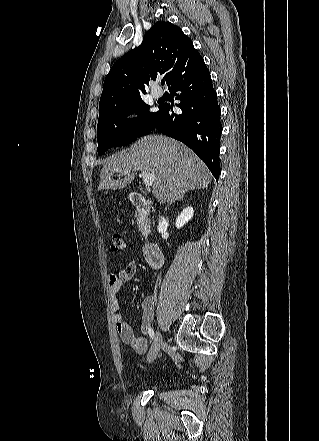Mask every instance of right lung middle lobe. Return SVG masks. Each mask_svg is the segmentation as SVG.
<instances>
[{
  "label": "right lung middle lobe",
  "mask_w": 319,
  "mask_h": 441,
  "mask_svg": "<svg viewBox=\"0 0 319 441\" xmlns=\"http://www.w3.org/2000/svg\"><path fill=\"white\" fill-rule=\"evenodd\" d=\"M149 109L150 105L140 99L100 110L97 125L98 154H104L113 146L127 145L153 130L160 107L155 113L150 112ZM134 113L140 116L126 119L128 115Z\"/></svg>",
  "instance_id": "obj_1"
}]
</instances>
